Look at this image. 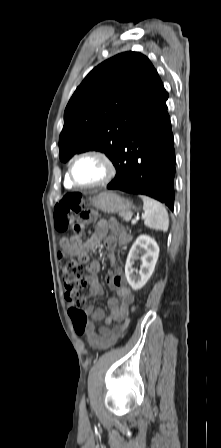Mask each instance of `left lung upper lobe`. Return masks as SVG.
Segmentation results:
<instances>
[{
    "label": "left lung upper lobe",
    "instance_id": "5c2ea615",
    "mask_svg": "<svg viewBox=\"0 0 221 448\" xmlns=\"http://www.w3.org/2000/svg\"><path fill=\"white\" fill-rule=\"evenodd\" d=\"M165 92L150 60L124 52L102 62L83 80L64 112L60 159L97 150L114 160L125 134Z\"/></svg>",
    "mask_w": 221,
    "mask_h": 448
}]
</instances>
